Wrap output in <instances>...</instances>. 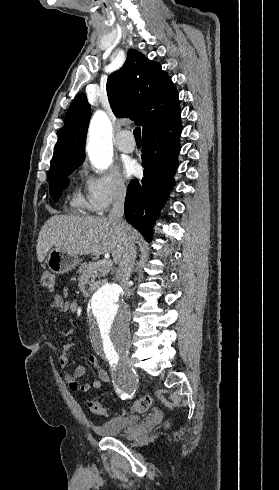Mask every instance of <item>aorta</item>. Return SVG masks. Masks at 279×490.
I'll return each instance as SVG.
<instances>
[{"label":"aorta","mask_w":279,"mask_h":490,"mask_svg":"<svg viewBox=\"0 0 279 490\" xmlns=\"http://www.w3.org/2000/svg\"><path fill=\"white\" fill-rule=\"evenodd\" d=\"M87 153L98 169H107L113 159L112 125L105 112L98 110L90 120ZM130 312L115 284H104L90 300L87 323L92 345L100 353L113 351L130 339Z\"/></svg>","instance_id":"1"}]
</instances>
